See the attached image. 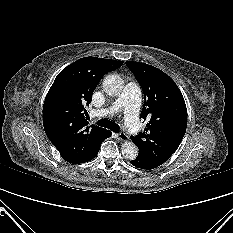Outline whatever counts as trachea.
Returning a JSON list of instances; mask_svg holds the SVG:
<instances>
[{
	"label": "trachea",
	"mask_w": 233,
	"mask_h": 233,
	"mask_svg": "<svg viewBox=\"0 0 233 233\" xmlns=\"http://www.w3.org/2000/svg\"><path fill=\"white\" fill-rule=\"evenodd\" d=\"M96 124L101 126V127L108 128L115 133H118L120 131L119 125L113 121L108 120V119H101V120L97 121Z\"/></svg>",
	"instance_id": "obj_1"
}]
</instances>
